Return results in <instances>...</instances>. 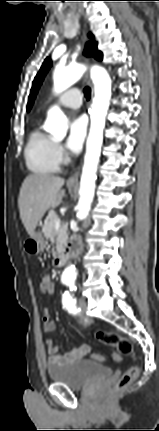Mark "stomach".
<instances>
[{"instance_id":"obj_1","label":"stomach","mask_w":159,"mask_h":431,"mask_svg":"<svg viewBox=\"0 0 159 431\" xmlns=\"http://www.w3.org/2000/svg\"><path fill=\"white\" fill-rule=\"evenodd\" d=\"M46 246L42 233L37 230L24 242V250L29 254H39Z\"/></svg>"}]
</instances>
